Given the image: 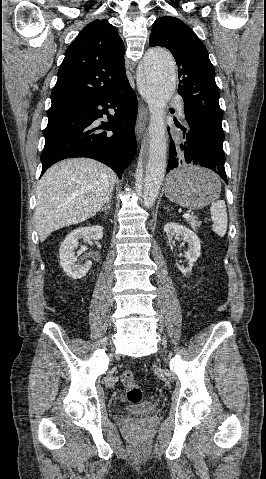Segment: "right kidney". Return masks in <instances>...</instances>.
<instances>
[{"label": "right kidney", "mask_w": 266, "mask_h": 479, "mask_svg": "<svg viewBox=\"0 0 266 479\" xmlns=\"http://www.w3.org/2000/svg\"><path fill=\"white\" fill-rule=\"evenodd\" d=\"M103 237V228L101 226L81 227L70 232L59 249L60 265L67 276L72 279H81L89 271L92 262L88 261L84 265L76 264L75 249L78 247V240L86 238L89 240H100Z\"/></svg>", "instance_id": "obj_1"}]
</instances>
